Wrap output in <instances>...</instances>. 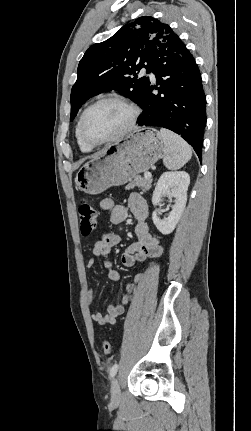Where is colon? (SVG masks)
I'll list each match as a JSON object with an SVG mask.
<instances>
[{"instance_id": "1", "label": "colon", "mask_w": 251, "mask_h": 431, "mask_svg": "<svg viewBox=\"0 0 251 431\" xmlns=\"http://www.w3.org/2000/svg\"><path fill=\"white\" fill-rule=\"evenodd\" d=\"M78 216L82 236H90L96 227L97 215L94 207L88 201L81 200L78 207ZM102 348L105 355H109L112 351L111 344L108 341L103 342Z\"/></svg>"}]
</instances>
